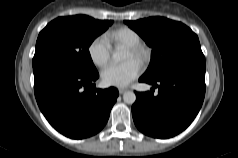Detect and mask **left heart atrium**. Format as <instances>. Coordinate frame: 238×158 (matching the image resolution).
<instances>
[{
	"label": "left heart atrium",
	"mask_w": 238,
	"mask_h": 158,
	"mask_svg": "<svg viewBox=\"0 0 238 158\" xmlns=\"http://www.w3.org/2000/svg\"><path fill=\"white\" fill-rule=\"evenodd\" d=\"M140 65L130 59L121 64H111L101 73L103 82L108 86L125 87L140 73Z\"/></svg>",
	"instance_id": "1"
}]
</instances>
